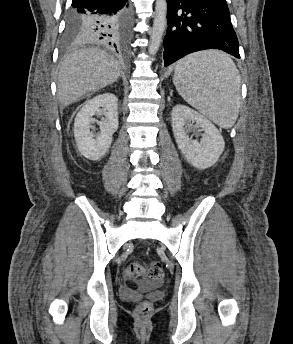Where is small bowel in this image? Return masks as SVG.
Segmentation results:
<instances>
[{"label": "small bowel", "instance_id": "1", "mask_svg": "<svg viewBox=\"0 0 293 344\" xmlns=\"http://www.w3.org/2000/svg\"><path fill=\"white\" fill-rule=\"evenodd\" d=\"M125 278H126V280L129 281L132 278V276L125 274ZM120 294L123 298L129 299V300L135 299L137 296L136 291L129 286L123 287L120 291Z\"/></svg>", "mask_w": 293, "mask_h": 344}]
</instances>
